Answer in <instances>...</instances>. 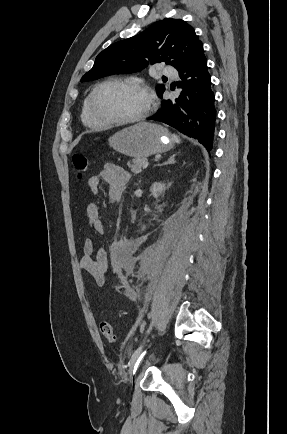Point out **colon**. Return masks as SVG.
I'll return each instance as SVG.
<instances>
[{"label":"colon","mask_w":287,"mask_h":434,"mask_svg":"<svg viewBox=\"0 0 287 434\" xmlns=\"http://www.w3.org/2000/svg\"><path fill=\"white\" fill-rule=\"evenodd\" d=\"M87 169H88V159L86 158V156L82 154H75L73 156V170L75 175L78 178H82L85 176ZM99 328L101 334L108 342L110 343L116 342L117 336L114 327L110 322L106 320L101 321L99 324Z\"/></svg>","instance_id":"5ec220e1"}]
</instances>
